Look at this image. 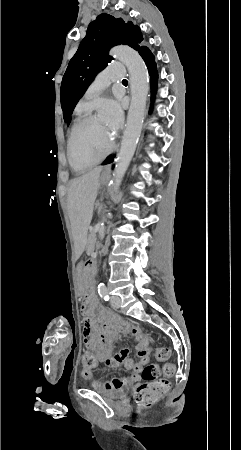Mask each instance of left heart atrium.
Instances as JSON below:
<instances>
[{"label": "left heart atrium", "instance_id": "39dd6f15", "mask_svg": "<svg viewBox=\"0 0 241 450\" xmlns=\"http://www.w3.org/2000/svg\"><path fill=\"white\" fill-rule=\"evenodd\" d=\"M108 112L110 113V117H111V127L114 130H118L122 127V123H123V116L122 113L120 111V109L117 107V105H115L114 103H108Z\"/></svg>", "mask_w": 241, "mask_h": 450}]
</instances>
